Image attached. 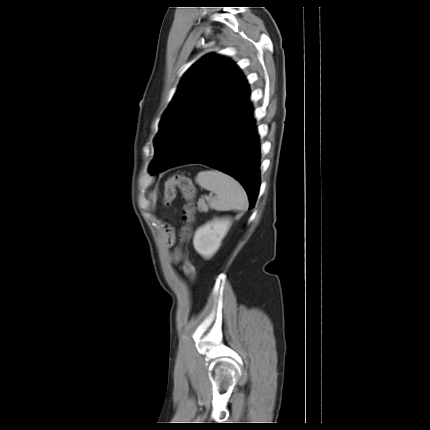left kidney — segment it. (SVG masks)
<instances>
[{
  "mask_svg": "<svg viewBox=\"0 0 430 430\" xmlns=\"http://www.w3.org/2000/svg\"><path fill=\"white\" fill-rule=\"evenodd\" d=\"M232 221L229 218H214L200 226L193 238L195 250L205 259H210L221 246Z\"/></svg>",
  "mask_w": 430,
  "mask_h": 430,
  "instance_id": "5707ae66",
  "label": "left kidney"
}]
</instances>
